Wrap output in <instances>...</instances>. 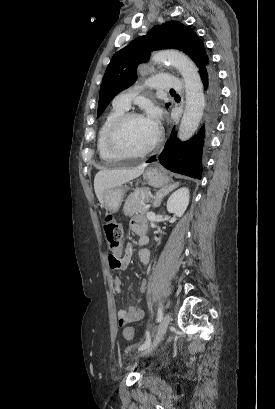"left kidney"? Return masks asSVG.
<instances>
[{
    "label": "left kidney",
    "mask_w": 275,
    "mask_h": 409,
    "mask_svg": "<svg viewBox=\"0 0 275 409\" xmlns=\"http://www.w3.org/2000/svg\"><path fill=\"white\" fill-rule=\"evenodd\" d=\"M189 205V190L186 186L178 188L175 190L167 200V211L168 213H175L177 217H182L184 215L187 207Z\"/></svg>",
    "instance_id": "5707ae66"
}]
</instances>
